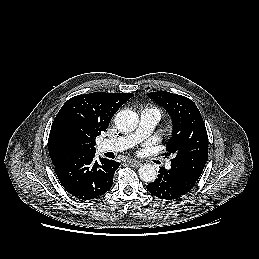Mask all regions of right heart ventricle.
I'll list each match as a JSON object with an SVG mask.
<instances>
[{"label": "right heart ventricle", "mask_w": 259, "mask_h": 259, "mask_svg": "<svg viewBox=\"0 0 259 259\" xmlns=\"http://www.w3.org/2000/svg\"><path fill=\"white\" fill-rule=\"evenodd\" d=\"M149 110H153V111L157 112L161 116V111L158 108L151 107V108H149Z\"/></svg>", "instance_id": "e07e8e85"}]
</instances>
